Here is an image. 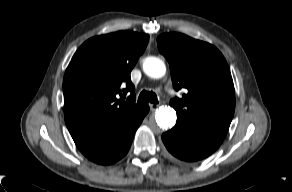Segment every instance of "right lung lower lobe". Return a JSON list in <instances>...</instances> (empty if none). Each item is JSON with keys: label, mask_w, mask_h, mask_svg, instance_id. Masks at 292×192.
<instances>
[{"label": "right lung lower lobe", "mask_w": 292, "mask_h": 192, "mask_svg": "<svg viewBox=\"0 0 292 192\" xmlns=\"http://www.w3.org/2000/svg\"><path fill=\"white\" fill-rule=\"evenodd\" d=\"M149 107L143 106L135 116L118 121L110 126L69 131L77 148L91 161L108 165L126 155L134 134Z\"/></svg>", "instance_id": "right-lung-lower-lobe-1"}]
</instances>
